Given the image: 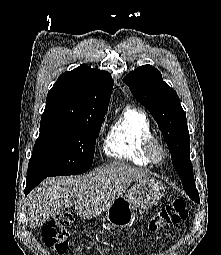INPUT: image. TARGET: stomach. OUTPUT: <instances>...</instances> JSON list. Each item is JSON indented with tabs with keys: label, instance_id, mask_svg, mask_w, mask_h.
Here are the masks:
<instances>
[{
	"label": "stomach",
	"instance_id": "1",
	"mask_svg": "<svg viewBox=\"0 0 221 255\" xmlns=\"http://www.w3.org/2000/svg\"><path fill=\"white\" fill-rule=\"evenodd\" d=\"M164 195L163 184L148 176L139 178L127 195L116 198L106 209V219L113 227H126L134 220L136 208L147 210Z\"/></svg>",
	"mask_w": 221,
	"mask_h": 255
}]
</instances>
